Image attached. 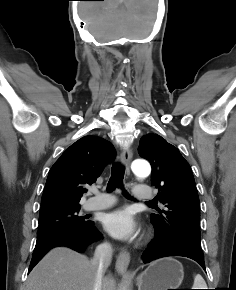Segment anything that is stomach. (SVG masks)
Wrapping results in <instances>:
<instances>
[{"label":"stomach","instance_id":"0dacf381","mask_svg":"<svg viewBox=\"0 0 236 290\" xmlns=\"http://www.w3.org/2000/svg\"><path fill=\"white\" fill-rule=\"evenodd\" d=\"M184 278L182 264L166 257L152 262L137 277L138 290L178 289Z\"/></svg>","mask_w":236,"mask_h":290}]
</instances>
